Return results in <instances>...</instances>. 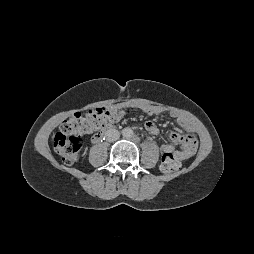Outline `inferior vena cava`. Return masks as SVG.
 Instances as JSON below:
<instances>
[{"mask_svg": "<svg viewBox=\"0 0 254 254\" xmlns=\"http://www.w3.org/2000/svg\"><path fill=\"white\" fill-rule=\"evenodd\" d=\"M120 137V133L115 129H109L105 132V138L108 142L117 141Z\"/></svg>", "mask_w": 254, "mask_h": 254, "instance_id": "obj_1", "label": "inferior vena cava"}]
</instances>
